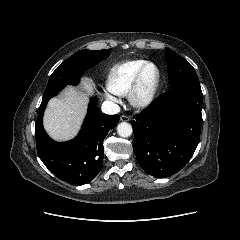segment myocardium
<instances>
[{
	"label": "myocardium",
	"mask_w": 240,
	"mask_h": 240,
	"mask_svg": "<svg viewBox=\"0 0 240 240\" xmlns=\"http://www.w3.org/2000/svg\"><path fill=\"white\" fill-rule=\"evenodd\" d=\"M153 67L155 70V77L151 84L147 87L143 85V77L147 68ZM161 83V71L159 67L153 62H145L137 72L128 91V99L131 105L138 109L148 107L158 92Z\"/></svg>",
	"instance_id": "1"
}]
</instances>
